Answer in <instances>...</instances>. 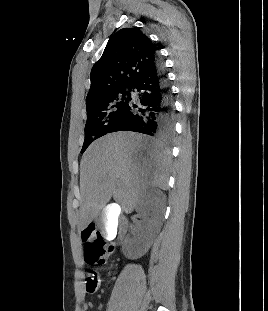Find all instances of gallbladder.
Masks as SVG:
<instances>
[{"instance_id": "bac80fb5", "label": "gallbladder", "mask_w": 268, "mask_h": 311, "mask_svg": "<svg viewBox=\"0 0 268 311\" xmlns=\"http://www.w3.org/2000/svg\"><path fill=\"white\" fill-rule=\"evenodd\" d=\"M119 201L107 202L102 209L100 216L97 218V225L101 234H105L106 239H116L119 229L117 219L121 212Z\"/></svg>"}]
</instances>
